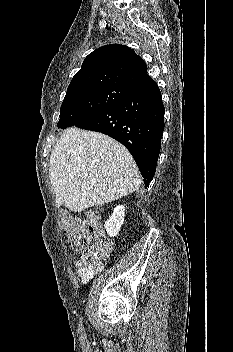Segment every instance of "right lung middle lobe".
<instances>
[{
  "label": "right lung middle lobe",
  "mask_w": 233,
  "mask_h": 352,
  "mask_svg": "<svg viewBox=\"0 0 233 352\" xmlns=\"http://www.w3.org/2000/svg\"><path fill=\"white\" fill-rule=\"evenodd\" d=\"M134 93H136L134 89L116 84L91 86L69 91L62 103L57 127L65 129L83 123Z\"/></svg>",
  "instance_id": "dd1d6c3e"
}]
</instances>
